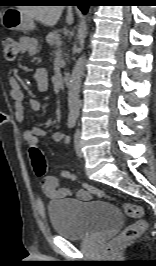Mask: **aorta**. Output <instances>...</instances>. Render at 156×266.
I'll return each instance as SVG.
<instances>
[{"mask_svg": "<svg viewBox=\"0 0 156 266\" xmlns=\"http://www.w3.org/2000/svg\"><path fill=\"white\" fill-rule=\"evenodd\" d=\"M85 55L76 61L68 83V108L69 115L77 117L79 115L80 101L79 93L81 87V77L85 68Z\"/></svg>", "mask_w": 156, "mask_h": 266, "instance_id": "aorta-1", "label": "aorta"}]
</instances>
